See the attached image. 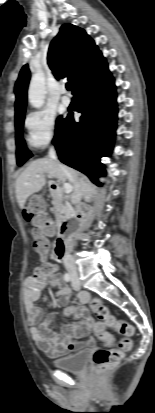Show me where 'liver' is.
Listing matches in <instances>:
<instances>
[{"label": "liver", "instance_id": "1", "mask_svg": "<svg viewBox=\"0 0 155 413\" xmlns=\"http://www.w3.org/2000/svg\"><path fill=\"white\" fill-rule=\"evenodd\" d=\"M69 170L71 171L74 180L80 185L82 196L85 201L89 202L91 197L97 193L96 187L80 177V174L77 171L73 169ZM46 175L56 178L59 182H65L67 180V177L59 171L58 167L49 158H41L31 162L18 176L15 184V192L17 202L21 209L24 208L26 200L30 195L39 192L43 186H45ZM70 185L74 188L72 182Z\"/></svg>", "mask_w": 155, "mask_h": 413}]
</instances>
